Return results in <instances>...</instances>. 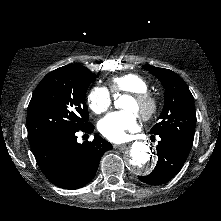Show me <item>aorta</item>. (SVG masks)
Segmentation results:
<instances>
[{"label":"aorta","mask_w":221,"mask_h":221,"mask_svg":"<svg viewBox=\"0 0 221 221\" xmlns=\"http://www.w3.org/2000/svg\"><path fill=\"white\" fill-rule=\"evenodd\" d=\"M120 99L117 101L118 103ZM125 164L129 171L136 175L150 173L155 165L150 146L145 142H134L125 156Z\"/></svg>","instance_id":"aorta-1"}]
</instances>
